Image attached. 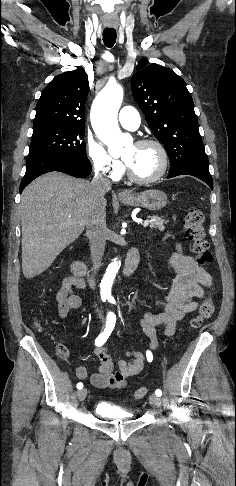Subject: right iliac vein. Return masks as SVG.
Wrapping results in <instances>:
<instances>
[{
  "instance_id": "obj_1",
  "label": "right iliac vein",
  "mask_w": 236,
  "mask_h": 486,
  "mask_svg": "<svg viewBox=\"0 0 236 486\" xmlns=\"http://www.w3.org/2000/svg\"><path fill=\"white\" fill-rule=\"evenodd\" d=\"M86 396H87V390L85 388L77 392V397L79 401H83L86 398Z\"/></svg>"
}]
</instances>
